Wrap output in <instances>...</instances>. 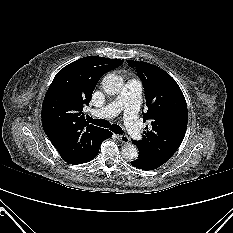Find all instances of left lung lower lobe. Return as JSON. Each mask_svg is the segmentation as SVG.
Listing matches in <instances>:
<instances>
[{
    "label": "left lung lower lobe",
    "instance_id": "left-lung-lower-lobe-1",
    "mask_svg": "<svg viewBox=\"0 0 233 233\" xmlns=\"http://www.w3.org/2000/svg\"><path fill=\"white\" fill-rule=\"evenodd\" d=\"M131 164L134 167L143 169V170H154L162 165L156 160L143 155L141 152H139L138 158L132 161Z\"/></svg>",
    "mask_w": 233,
    "mask_h": 233
}]
</instances>
